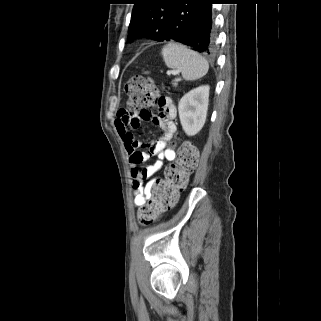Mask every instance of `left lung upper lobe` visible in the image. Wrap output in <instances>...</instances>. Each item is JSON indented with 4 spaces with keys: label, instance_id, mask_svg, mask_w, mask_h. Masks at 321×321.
I'll return each instance as SVG.
<instances>
[{
    "label": "left lung upper lobe",
    "instance_id": "1",
    "mask_svg": "<svg viewBox=\"0 0 321 321\" xmlns=\"http://www.w3.org/2000/svg\"><path fill=\"white\" fill-rule=\"evenodd\" d=\"M133 3L128 42L140 37L162 41L177 0H133Z\"/></svg>",
    "mask_w": 321,
    "mask_h": 321
}]
</instances>
